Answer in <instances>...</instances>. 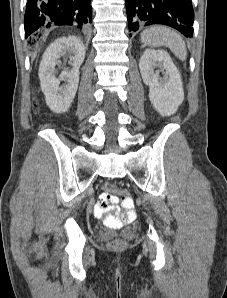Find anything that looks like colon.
Listing matches in <instances>:
<instances>
[{"label": "colon", "mask_w": 227, "mask_h": 298, "mask_svg": "<svg viewBox=\"0 0 227 298\" xmlns=\"http://www.w3.org/2000/svg\"><path fill=\"white\" fill-rule=\"evenodd\" d=\"M30 45L35 44L34 39L29 40ZM33 108L35 111L38 110V101L37 99H33ZM105 192L100 195L98 199V204L100 207L105 211V218L104 222L108 227L116 228L122 225L123 220L118 218L115 213L116 206L113 204L115 196L114 194L123 195V202L126 208L133 207V200L132 198L122 189L117 188L115 185L107 183L104 185ZM108 246L114 250L123 249L126 246V242L120 238H114L109 241Z\"/></svg>", "instance_id": "obj_1"}]
</instances>
